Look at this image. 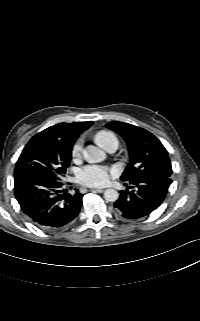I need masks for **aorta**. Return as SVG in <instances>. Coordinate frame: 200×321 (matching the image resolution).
I'll list each match as a JSON object with an SVG mask.
<instances>
[{
  "mask_svg": "<svg viewBox=\"0 0 200 321\" xmlns=\"http://www.w3.org/2000/svg\"><path fill=\"white\" fill-rule=\"evenodd\" d=\"M85 157L88 162L95 163L105 160L106 154L98 147L88 146ZM104 197L109 202H115L119 198V194L114 189H107L104 193Z\"/></svg>",
  "mask_w": 200,
  "mask_h": 321,
  "instance_id": "obj_1",
  "label": "aorta"
}]
</instances>
